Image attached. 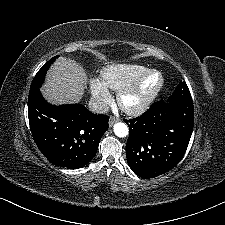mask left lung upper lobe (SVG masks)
Instances as JSON below:
<instances>
[{"mask_svg":"<svg viewBox=\"0 0 225 225\" xmlns=\"http://www.w3.org/2000/svg\"><path fill=\"white\" fill-rule=\"evenodd\" d=\"M178 100L192 101L190 91L187 87L186 82L184 81H180L179 85L172 93V96H170L168 99V101H178Z\"/></svg>","mask_w":225,"mask_h":225,"instance_id":"1","label":"left lung upper lobe"}]
</instances>
